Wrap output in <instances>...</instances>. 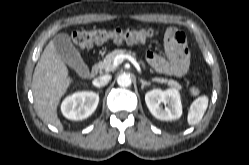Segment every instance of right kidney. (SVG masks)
I'll use <instances>...</instances> for the list:
<instances>
[{"instance_id":"ca27d5eb","label":"right kidney","mask_w":249,"mask_h":165,"mask_svg":"<svg viewBox=\"0 0 249 165\" xmlns=\"http://www.w3.org/2000/svg\"><path fill=\"white\" fill-rule=\"evenodd\" d=\"M98 103L97 93L76 92L63 100L61 112L67 119L79 121L89 117L96 110Z\"/></svg>"}]
</instances>
